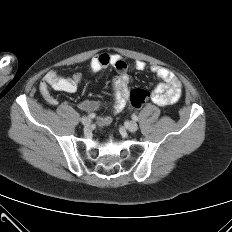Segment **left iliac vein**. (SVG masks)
<instances>
[{"label":"left iliac vein","mask_w":232,"mask_h":232,"mask_svg":"<svg viewBox=\"0 0 232 232\" xmlns=\"http://www.w3.org/2000/svg\"><path fill=\"white\" fill-rule=\"evenodd\" d=\"M127 129H128L130 132H136L137 129H138V125H137L136 122L130 121V122L127 124Z\"/></svg>","instance_id":"1"}]
</instances>
